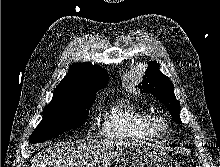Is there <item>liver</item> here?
Listing matches in <instances>:
<instances>
[{"instance_id": "1", "label": "liver", "mask_w": 220, "mask_h": 167, "mask_svg": "<svg viewBox=\"0 0 220 167\" xmlns=\"http://www.w3.org/2000/svg\"><path fill=\"white\" fill-rule=\"evenodd\" d=\"M129 145L121 140L55 143L40 151L31 167H110Z\"/></svg>"}]
</instances>
